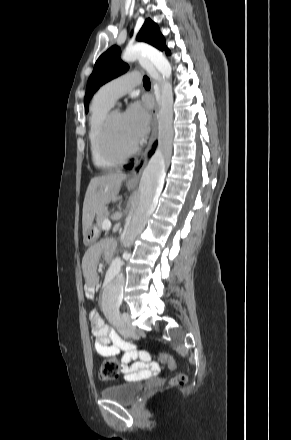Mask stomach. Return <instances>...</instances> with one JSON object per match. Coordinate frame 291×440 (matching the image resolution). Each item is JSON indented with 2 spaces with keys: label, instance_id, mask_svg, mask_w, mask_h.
I'll return each instance as SVG.
<instances>
[{
  "label": "stomach",
  "instance_id": "obj_1",
  "mask_svg": "<svg viewBox=\"0 0 291 440\" xmlns=\"http://www.w3.org/2000/svg\"><path fill=\"white\" fill-rule=\"evenodd\" d=\"M132 187L129 186V189H131ZM98 237V229L96 226H91L89 228V230L87 231V233L84 236V243L85 245H91L96 238Z\"/></svg>",
  "mask_w": 291,
  "mask_h": 440
}]
</instances>
